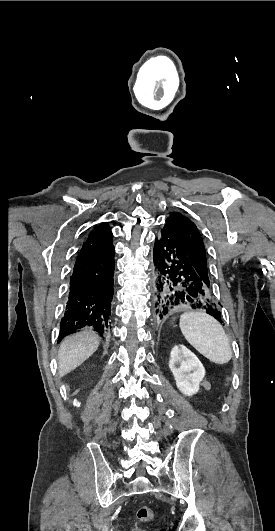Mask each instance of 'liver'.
I'll return each mask as SVG.
<instances>
[{"label": "liver", "mask_w": 275, "mask_h": 531, "mask_svg": "<svg viewBox=\"0 0 275 531\" xmlns=\"http://www.w3.org/2000/svg\"><path fill=\"white\" fill-rule=\"evenodd\" d=\"M99 345L100 337L88 329L66 337L58 351L59 377H64L76 367H80L97 351Z\"/></svg>", "instance_id": "6515ba94"}]
</instances>
